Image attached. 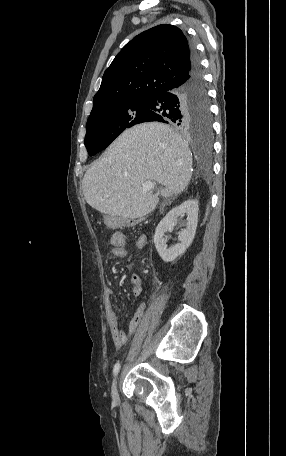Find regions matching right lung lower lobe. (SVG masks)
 <instances>
[{
	"mask_svg": "<svg viewBox=\"0 0 286 456\" xmlns=\"http://www.w3.org/2000/svg\"><path fill=\"white\" fill-rule=\"evenodd\" d=\"M146 104L150 114L145 122L159 121L188 128L207 120L210 116L208 95L200 61L193 46L186 81L146 98Z\"/></svg>",
	"mask_w": 286,
	"mask_h": 456,
	"instance_id": "obj_1",
	"label": "right lung lower lobe"
}]
</instances>
